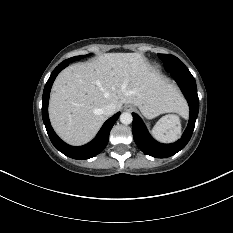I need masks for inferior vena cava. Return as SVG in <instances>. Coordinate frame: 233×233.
Masks as SVG:
<instances>
[{
    "label": "inferior vena cava",
    "mask_w": 233,
    "mask_h": 233,
    "mask_svg": "<svg viewBox=\"0 0 233 233\" xmlns=\"http://www.w3.org/2000/svg\"><path fill=\"white\" fill-rule=\"evenodd\" d=\"M116 112V106L114 104H108L102 108V114L111 116Z\"/></svg>",
    "instance_id": "1"
}]
</instances>
